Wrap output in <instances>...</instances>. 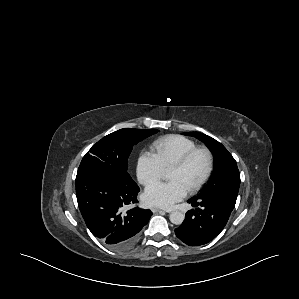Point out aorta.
<instances>
[{"instance_id":"aorta-1","label":"aorta","mask_w":299,"mask_h":299,"mask_svg":"<svg viewBox=\"0 0 299 299\" xmlns=\"http://www.w3.org/2000/svg\"><path fill=\"white\" fill-rule=\"evenodd\" d=\"M169 219L171 223L175 225H181L185 219V215L180 211H173L170 214Z\"/></svg>"}]
</instances>
